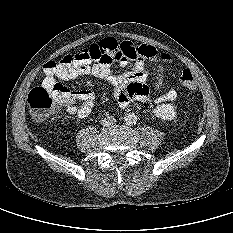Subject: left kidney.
Segmentation results:
<instances>
[{"instance_id":"left-kidney-1","label":"left kidney","mask_w":233,"mask_h":233,"mask_svg":"<svg viewBox=\"0 0 233 233\" xmlns=\"http://www.w3.org/2000/svg\"><path fill=\"white\" fill-rule=\"evenodd\" d=\"M155 115L162 120H173L176 117V109L171 104H162L154 110Z\"/></svg>"}]
</instances>
